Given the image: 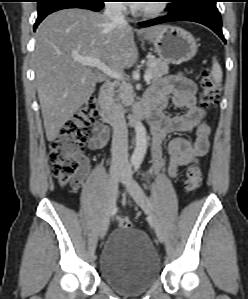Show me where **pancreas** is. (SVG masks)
I'll use <instances>...</instances> for the list:
<instances>
[{
  "label": "pancreas",
  "instance_id": "cf45deb5",
  "mask_svg": "<svg viewBox=\"0 0 248 299\" xmlns=\"http://www.w3.org/2000/svg\"><path fill=\"white\" fill-rule=\"evenodd\" d=\"M147 66L148 67L146 69V72H149L151 74V79L160 78L163 75L168 74L169 72L168 64L158 58L150 57L147 60ZM119 91V96L122 100V103L125 106L132 105L134 102L132 86L125 83L121 84Z\"/></svg>",
  "mask_w": 248,
  "mask_h": 299
}]
</instances>
